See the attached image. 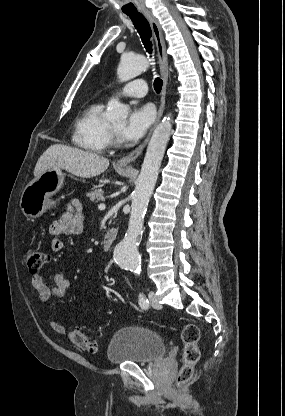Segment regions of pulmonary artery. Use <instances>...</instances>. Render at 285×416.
<instances>
[{"label":"pulmonary artery","mask_w":285,"mask_h":416,"mask_svg":"<svg viewBox=\"0 0 285 416\" xmlns=\"http://www.w3.org/2000/svg\"><path fill=\"white\" fill-rule=\"evenodd\" d=\"M145 80L138 78L124 86L123 94L127 96L143 97L148 94Z\"/></svg>","instance_id":"pulmonary-artery-1"}]
</instances>
